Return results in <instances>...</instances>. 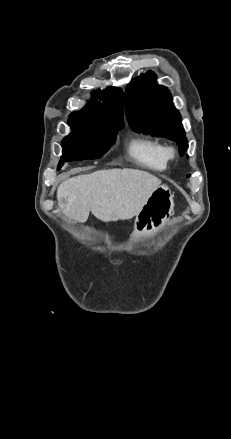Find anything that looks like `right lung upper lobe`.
Returning a JSON list of instances; mask_svg holds the SVG:
<instances>
[{"mask_svg":"<svg viewBox=\"0 0 231 439\" xmlns=\"http://www.w3.org/2000/svg\"><path fill=\"white\" fill-rule=\"evenodd\" d=\"M93 101L82 110L70 114L69 119H82L108 127H124L123 92L120 88L107 87L92 92ZM100 98L103 103L96 102Z\"/></svg>","mask_w":231,"mask_h":439,"instance_id":"obj_1","label":"right lung upper lobe"}]
</instances>
